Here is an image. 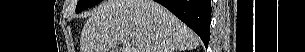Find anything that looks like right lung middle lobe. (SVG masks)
<instances>
[{"label":"right lung middle lobe","instance_id":"dd1d6c3e","mask_svg":"<svg viewBox=\"0 0 305 52\" xmlns=\"http://www.w3.org/2000/svg\"><path fill=\"white\" fill-rule=\"evenodd\" d=\"M102 0H79L76 6V13L81 12L84 9L90 8L98 4Z\"/></svg>","mask_w":305,"mask_h":52}]
</instances>
